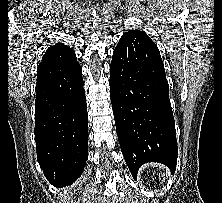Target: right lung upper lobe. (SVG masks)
I'll return each instance as SVG.
<instances>
[{"instance_id":"obj_1","label":"right lung upper lobe","mask_w":222,"mask_h":203,"mask_svg":"<svg viewBox=\"0 0 222 203\" xmlns=\"http://www.w3.org/2000/svg\"><path fill=\"white\" fill-rule=\"evenodd\" d=\"M73 60H76L75 51L63 43H56L46 50L39 65L45 63L69 62Z\"/></svg>"}]
</instances>
